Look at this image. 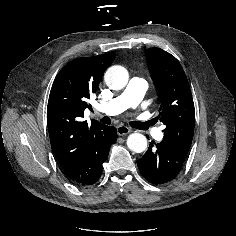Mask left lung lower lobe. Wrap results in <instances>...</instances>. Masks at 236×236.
Segmentation results:
<instances>
[{
	"instance_id": "0a47b994",
	"label": "left lung lower lobe",
	"mask_w": 236,
	"mask_h": 236,
	"mask_svg": "<svg viewBox=\"0 0 236 236\" xmlns=\"http://www.w3.org/2000/svg\"><path fill=\"white\" fill-rule=\"evenodd\" d=\"M156 146L154 151L152 148ZM186 156L178 153L163 142L154 141L137 162L141 174L150 183L158 185L176 178L181 171Z\"/></svg>"
}]
</instances>
